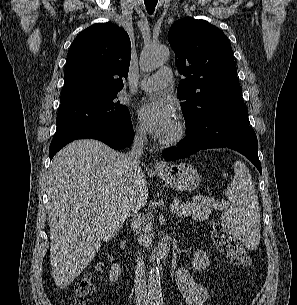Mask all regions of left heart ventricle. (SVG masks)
I'll return each instance as SVG.
<instances>
[{"instance_id":"obj_1","label":"left heart ventricle","mask_w":297,"mask_h":305,"mask_svg":"<svg viewBox=\"0 0 297 305\" xmlns=\"http://www.w3.org/2000/svg\"><path fill=\"white\" fill-rule=\"evenodd\" d=\"M174 129H175V125H174V127L172 128V130L169 132V134L166 137L170 136L172 134V132L174 131Z\"/></svg>"}]
</instances>
